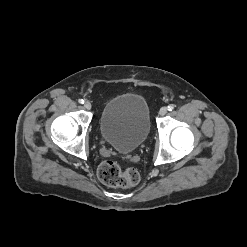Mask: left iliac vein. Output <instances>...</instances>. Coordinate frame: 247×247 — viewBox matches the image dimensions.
I'll list each match as a JSON object with an SVG mask.
<instances>
[{"instance_id": "1", "label": "left iliac vein", "mask_w": 247, "mask_h": 247, "mask_svg": "<svg viewBox=\"0 0 247 247\" xmlns=\"http://www.w3.org/2000/svg\"><path fill=\"white\" fill-rule=\"evenodd\" d=\"M167 108L166 107H162L161 109H160V111H159V114L161 115V116H164V115H166V113H167Z\"/></svg>"}]
</instances>
